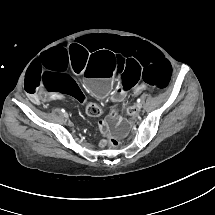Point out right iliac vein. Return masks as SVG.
<instances>
[{
	"instance_id": "1",
	"label": "right iliac vein",
	"mask_w": 215,
	"mask_h": 215,
	"mask_svg": "<svg viewBox=\"0 0 215 215\" xmlns=\"http://www.w3.org/2000/svg\"><path fill=\"white\" fill-rule=\"evenodd\" d=\"M63 116L67 118V117H68V114H67V113H63Z\"/></svg>"
}]
</instances>
